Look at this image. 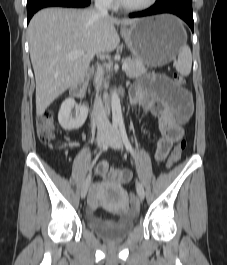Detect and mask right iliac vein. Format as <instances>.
<instances>
[{"instance_id":"1","label":"right iliac vein","mask_w":227,"mask_h":265,"mask_svg":"<svg viewBox=\"0 0 227 265\" xmlns=\"http://www.w3.org/2000/svg\"><path fill=\"white\" fill-rule=\"evenodd\" d=\"M107 137H108V134L106 132H102L97 136V144H98L99 148H101L104 145ZM90 179H91V177H87L86 180L84 181L83 185H82V188H81V197L82 198H85V196L87 194V191H88V188L90 185Z\"/></svg>"}]
</instances>
